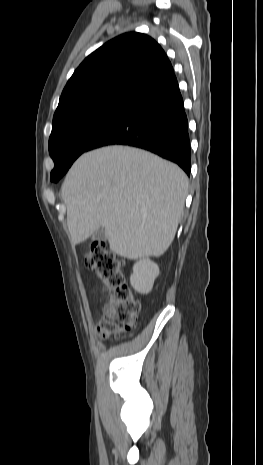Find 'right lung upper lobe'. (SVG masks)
Returning a JSON list of instances; mask_svg holds the SVG:
<instances>
[{"label": "right lung upper lobe", "mask_w": 263, "mask_h": 465, "mask_svg": "<svg viewBox=\"0 0 263 465\" xmlns=\"http://www.w3.org/2000/svg\"><path fill=\"white\" fill-rule=\"evenodd\" d=\"M174 74L164 50L151 37L130 32L90 54L67 82L54 117L107 96L136 97Z\"/></svg>", "instance_id": "obj_1"}]
</instances>
